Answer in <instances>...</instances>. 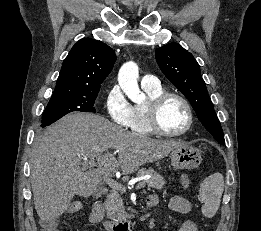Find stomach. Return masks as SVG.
Returning a JSON list of instances; mask_svg holds the SVG:
<instances>
[{
    "mask_svg": "<svg viewBox=\"0 0 261 231\" xmlns=\"http://www.w3.org/2000/svg\"><path fill=\"white\" fill-rule=\"evenodd\" d=\"M170 159L175 169H193L198 167L202 161L200 151L189 144H183L173 149Z\"/></svg>",
    "mask_w": 261,
    "mask_h": 231,
    "instance_id": "0dacf381",
    "label": "stomach"
}]
</instances>
